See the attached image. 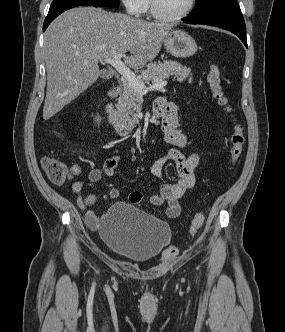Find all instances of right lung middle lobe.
Here are the masks:
<instances>
[{
    "instance_id": "obj_1",
    "label": "right lung middle lobe",
    "mask_w": 285,
    "mask_h": 332,
    "mask_svg": "<svg viewBox=\"0 0 285 332\" xmlns=\"http://www.w3.org/2000/svg\"><path fill=\"white\" fill-rule=\"evenodd\" d=\"M67 6L117 7L119 0H53L50 9Z\"/></svg>"
}]
</instances>
